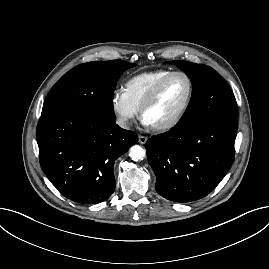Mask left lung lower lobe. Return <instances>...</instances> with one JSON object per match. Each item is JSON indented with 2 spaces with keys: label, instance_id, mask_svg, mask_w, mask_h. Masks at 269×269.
Here are the masks:
<instances>
[{
  "label": "left lung lower lobe",
  "instance_id": "obj_1",
  "mask_svg": "<svg viewBox=\"0 0 269 269\" xmlns=\"http://www.w3.org/2000/svg\"><path fill=\"white\" fill-rule=\"evenodd\" d=\"M236 132L235 116H216L149 139L145 147L157 193L179 203L208 195L234 160Z\"/></svg>",
  "mask_w": 269,
  "mask_h": 269
}]
</instances>
